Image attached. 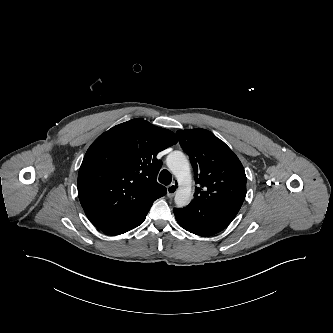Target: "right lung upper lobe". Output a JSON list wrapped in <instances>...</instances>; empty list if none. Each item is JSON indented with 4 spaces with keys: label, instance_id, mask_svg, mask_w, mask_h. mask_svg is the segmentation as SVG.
<instances>
[{
    "label": "right lung upper lobe",
    "instance_id": "cb5924a9",
    "mask_svg": "<svg viewBox=\"0 0 333 333\" xmlns=\"http://www.w3.org/2000/svg\"><path fill=\"white\" fill-rule=\"evenodd\" d=\"M177 143L175 134L142 119L109 129L87 150L78 173V196L97 228L147 213L166 194L156 181L157 154Z\"/></svg>",
    "mask_w": 333,
    "mask_h": 333
}]
</instances>
